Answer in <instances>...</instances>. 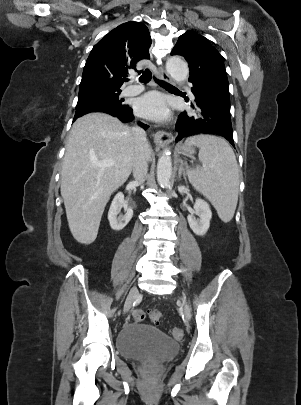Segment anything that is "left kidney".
Wrapping results in <instances>:
<instances>
[{"label": "left kidney", "instance_id": "obj_1", "mask_svg": "<svg viewBox=\"0 0 301 405\" xmlns=\"http://www.w3.org/2000/svg\"><path fill=\"white\" fill-rule=\"evenodd\" d=\"M193 214L198 215L199 219H195ZM193 214L187 217L189 226L197 236H204L209 229L212 218L209 204L202 199H196Z\"/></svg>", "mask_w": 301, "mask_h": 405}]
</instances>
